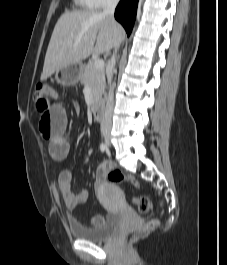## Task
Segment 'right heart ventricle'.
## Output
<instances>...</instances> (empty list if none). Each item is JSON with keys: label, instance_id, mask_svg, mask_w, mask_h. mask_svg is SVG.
Masks as SVG:
<instances>
[{"label": "right heart ventricle", "instance_id": "right-heart-ventricle-1", "mask_svg": "<svg viewBox=\"0 0 227 265\" xmlns=\"http://www.w3.org/2000/svg\"><path fill=\"white\" fill-rule=\"evenodd\" d=\"M75 4L79 8H94V5L91 0H74Z\"/></svg>", "mask_w": 227, "mask_h": 265}]
</instances>
